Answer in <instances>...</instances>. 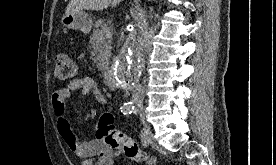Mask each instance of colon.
<instances>
[{
	"mask_svg": "<svg viewBox=\"0 0 276 165\" xmlns=\"http://www.w3.org/2000/svg\"><path fill=\"white\" fill-rule=\"evenodd\" d=\"M55 75L59 80L66 81L74 77L75 66L67 54H58L55 58ZM97 138L109 147L118 149L129 159L154 165L155 159L143 151L129 136L114 127V119L110 113L103 114L96 127Z\"/></svg>",
	"mask_w": 276,
	"mask_h": 165,
	"instance_id": "5ec220e1",
	"label": "colon"
}]
</instances>
